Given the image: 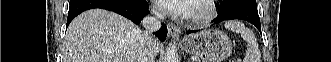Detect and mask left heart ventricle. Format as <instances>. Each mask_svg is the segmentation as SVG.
<instances>
[{"instance_id": "b2bd125f", "label": "left heart ventricle", "mask_w": 331, "mask_h": 62, "mask_svg": "<svg viewBox=\"0 0 331 62\" xmlns=\"http://www.w3.org/2000/svg\"><path fill=\"white\" fill-rule=\"evenodd\" d=\"M196 1L194 2V4H193V13L192 14H194L195 12H197L198 11V6H196ZM191 14V15H192Z\"/></svg>"}]
</instances>
